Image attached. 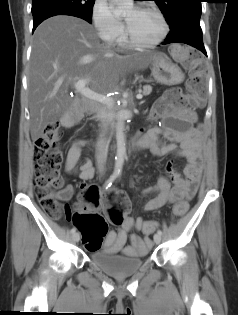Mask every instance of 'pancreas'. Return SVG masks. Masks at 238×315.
Instances as JSON below:
<instances>
[{"label": "pancreas", "instance_id": "pancreas-1", "mask_svg": "<svg viewBox=\"0 0 238 315\" xmlns=\"http://www.w3.org/2000/svg\"><path fill=\"white\" fill-rule=\"evenodd\" d=\"M152 92V87L150 85L143 86V95H149Z\"/></svg>", "mask_w": 238, "mask_h": 315}]
</instances>
